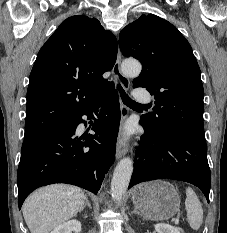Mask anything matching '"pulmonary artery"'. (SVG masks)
Returning <instances> with one entry per match:
<instances>
[{
    "label": "pulmonary artery",
    "mask_w": 227,
    "mask_h": 233,
    "mask_svg": "<svg viewBox=\"0 0 227 233\" xmlns=\"http://www.w3.org/2000/svg\"><path fill=\"white\" fill-rule=\"evenodd\" d=\"M135 96L142 103H149L151 101L150 97L141 91H137Z\"/></svg>",
    "instance_id": "1"
}]
</instances>
